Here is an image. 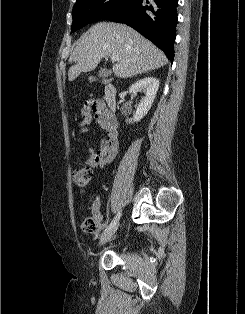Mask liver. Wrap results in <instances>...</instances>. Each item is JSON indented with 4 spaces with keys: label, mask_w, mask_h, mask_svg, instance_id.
Returning <instances> with one entry per match:
<instances>
[{
    "label": "liver",
    "mask_w": 245,
    "mask_h": 314,
    "mask_svg": "<svg viewBox=\"0 0 245 314\" xmlns=\"http://www.w3.org/2000/svg\"><path fill=\"white\" fill-rule=\"evenodd\" d=\"M117 56L114 75L128 78L163 67L165 54L140 33L124 24L100 22L93 25L77 42L69 62L68 80L94 70L103 57Z\"/></svg>",
    "instance_id": "obj_1"
}]
</instances>
